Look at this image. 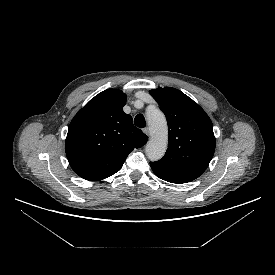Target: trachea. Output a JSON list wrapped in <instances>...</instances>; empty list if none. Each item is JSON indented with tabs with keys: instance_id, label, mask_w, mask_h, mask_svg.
<instances>
[{
	"instance_id": "1",
	"label": "trachea",
	"mask_w": 275,
	"mask_h": 275,
	"mask_svg": "<svg viewBox=\"0 0 275 275\" xmlns=\"http://www.w3.org/2000/svg\"><path fill=\"white\" fill-rule=\"evenodd\" d=\"M134 124L139 128H144L146 126L144 116L142 114H138L134 119Z\"/></svg>"
}]
</instances>
